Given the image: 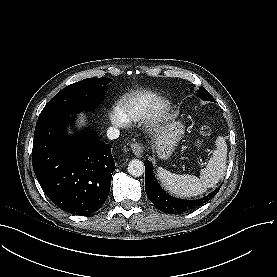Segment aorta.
Segmentation results:
<instances>
[{
  "label": "aorta",
  "mask_w": 277,
  "mask_h": 277,
  "mask_svg": "<svg viewBox=\"0 0 277 277\" xmlns=\"http://www.w3.org/2000/svg\"><path fill=\"white\" fill-rule=\"evenodd\" d=\"M144 163L139 159H133L128 163V172L134 177H139L144 174Z\"/></svg>",
  "instance_id": "1"
}]
</instances>
